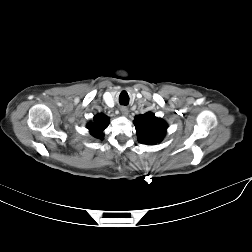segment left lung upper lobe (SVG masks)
<instances>
[{
    "instance_id": "1",
    "label": "left lung upper lobe",
    "mask_w": 252,
    "mask_h": 252,
    "mask_svg": "<svg viewBox=\"0 0 252 252\" xmlns=\"http://www.w3.org/2000/svg\"><path fill=\"white\" fill-rule=\"evenodd\" d=\"M138 141L142 144L154 145L160 142L167 129V124L151 112L135 116L133 121Z\"/></svg>"
}]
</instances>
